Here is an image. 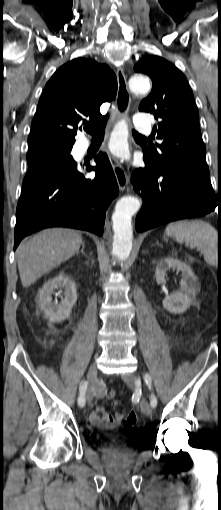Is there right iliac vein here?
Returning a JSON list of instances; mask_svg holds the SVG:
<instances>
[{
  "label": "right iliac vein",
  "instance_id": "1",
  "mask_svg": "<svg viewBox=\"0 0 221 510\" xmlns=\"http://www.w3.org/2000/svg\"><path fill=\"white\" fill-rule=\"evenodd\" d=\"M88 379V390L86 394L87 402L90 404L93 400V397L97 393V366L95 363H93L88 370L87 374Z\"/></svg>",
  "mask_w": 221,
  "mask_h": 510
}]
</instances>
